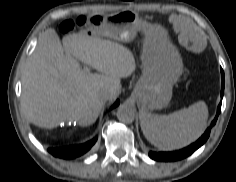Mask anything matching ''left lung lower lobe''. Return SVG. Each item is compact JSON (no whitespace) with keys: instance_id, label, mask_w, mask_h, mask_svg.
<instances>
[{"instance_id":"0a47b994","label":"left lung lower lobe","mask_w":236,"mask_h":182,"mask_svg":"<svg viewBox=\"0 0 236 182\" xmlns=\"http://www.w3.org/2000/svg\"><path fill=\"white\" fill-rule=\"evenodd\" d=\"M221 74H222L221 98H223L225 82H224V72L222 68H221ZM220 111H221V103L219 104L217 108V115L214 121L212 122L211 126L205 131V133L201 136V138H199L195 143L191 144L190 146L182 150H178L174 152H157L156 153V152L150 151L149 152L150 158L157 161H177L191 155L194 151H196L200 146H202L207 141L210 135L211 127L215 124Z\"/></svg>"}]
</instances>
